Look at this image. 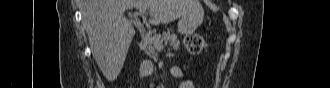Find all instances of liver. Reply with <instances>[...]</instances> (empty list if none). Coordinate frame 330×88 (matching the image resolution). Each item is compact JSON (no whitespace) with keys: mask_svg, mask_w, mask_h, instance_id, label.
<instances>
[{"mask_svg":"<svg viewBox=\"0 0 330 88\" xmlns=\"http://www.w3.org/2000/svg\"><path fill=\"white\" fill-rule=\"evenodd\" d=\"M198 0H83L82 19L92 55L104 76L113 81L119 75L135 35L124 16L126 9H149L153 25L169 23L195 11Z\"/></svg>","mask_w":330,"mask_h":88,"instance_id":"obj_1","label":"liver"}]
</instances>
